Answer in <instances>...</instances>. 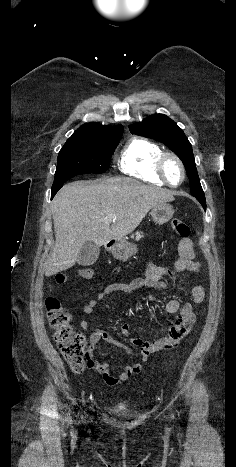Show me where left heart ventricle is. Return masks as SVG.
I'll list each match as a JSON object with an SVG mask.
<instances>
[{"instance_id":"1","label":"left heart ventricle","mask_w":236,"mask_h":467,"mask_svg":"<svg viewBox=\"0 0 236 467\" xmlns=\"http://www.w3.org/2000/svg\"><path fill=\"white\" fill-rule=\"evenodd\" d=\"M165 171L169 182L177 184L181 181L182 173L179 165L173 159H168L165 165Z\"/></svg>"}]
</instances>
